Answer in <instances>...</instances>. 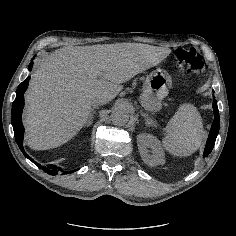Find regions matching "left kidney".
Listing matches in <instances>:
<instances>
[{"label":"left kidney","mask_w":236,"mask_h":236,"mask_svg":"<svg viewBox=\"0 0 236 236\" xmlns=\"http://www.w3.org/2000/svg\"><path fill=\"white\" fill-rule=\"evenodd\" d=\"M137 145L142 160L150 166L163 165L165 163V155L160 141L151 134L142 133L137 136ZM148 148L152 149L149 154Z\"/></svg>","instance_id":"1"}]
</instances>
